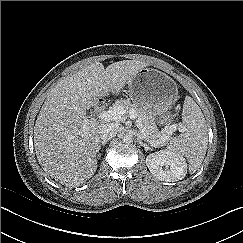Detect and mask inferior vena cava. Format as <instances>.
<instances>
[{"instance_id":"obj_1","label":"inferior vena cava","mask_w":243,"mask_h":243,"mask_svg":"<svg viewBox=\"0 0 243 243\" xmlns=\"http://www.w3.org/2000/svg\"><path fill=\"white\" fill-rule=\"evenodd\" d=\"M121 131L119 123H106L100 128V138L107 141L116 136Z\"/></svg>"}]
</instances>
